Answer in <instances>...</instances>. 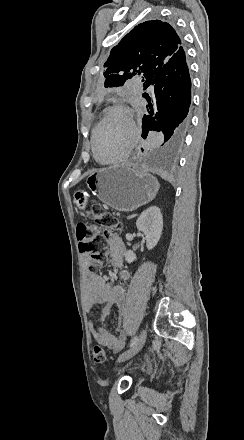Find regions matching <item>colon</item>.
<instances>
[{
  "label": "colon",
  "instance_id": "colon-1",
  "mask_svg": "<svg viewBox=\"0 0 244 440\" xmlns=\"http://www.w3.org/2000/svg\"><path fill=\"white\" fill-rule=\"evenodd\" d=\"M87 214L91 217V222H82L77 225V239L80 251L90 254V268L94 271L107 259V240L100 230H121L122 223L117 220L115 214L104 212L98 204H93ZM92 358L97 365L105 363L106 354L102 346H93Z\"/></svg>",
  "mask_w": 244,
  "mask_h": 440
}]
</instances>
